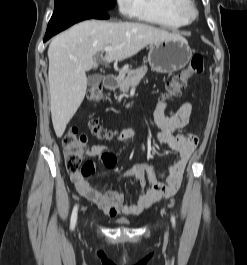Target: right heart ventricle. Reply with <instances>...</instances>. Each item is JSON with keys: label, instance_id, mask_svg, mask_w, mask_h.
<instances>
[{"label": "right heart ventricle", "instance_id": "1", "mask_svg": "<svg viewBox=\"0 0 247 265\" xmlns=\"http://www.w3.org/2000/svg\"><path fill=\"white\" fill-rule=\"evenodd\" d=\"M182 0H138L135 17L162 27L176 29L189 22L181 17L177 7Z\"/></svg>", "mask_w": 247, "mask_h": 265}]
</instances>
